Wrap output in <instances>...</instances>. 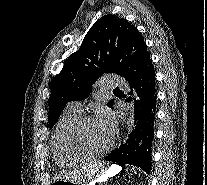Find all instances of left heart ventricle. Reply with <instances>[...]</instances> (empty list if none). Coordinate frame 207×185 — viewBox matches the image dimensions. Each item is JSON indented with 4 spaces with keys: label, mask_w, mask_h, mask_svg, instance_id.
<instances>
[{
    "label": "left heart ventricle",
    "mask_w": 207,
    "mask_h": 185,
    "mask_svg": "<svg viewBox=\"0 0 207 185\" xmlns=\"http://www.w3.org/2000/svg\"><path fill=\"white\" fill-rule=\"evenodd\" d=\"M82 137L89 148L100 151L109 145L112 135L93 119L84 126Z\"/></svg>",
    "instance_id": "obj_1"
}]
</instances>
